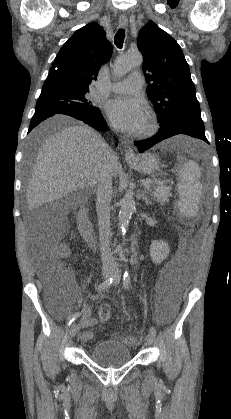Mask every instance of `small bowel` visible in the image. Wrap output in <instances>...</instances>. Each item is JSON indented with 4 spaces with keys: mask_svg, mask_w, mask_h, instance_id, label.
Wrapping results in <instances>:
<instances>
[{
    "mask_svg": "<svg viewBox=\"0 0 231 419\" xmlns=\"http://www.w3.org/2000/svg\"><path fill=\"white\" fill-rule=\"evenodd\" d=\"M170 266H167L162 272L159 282L157 284V293L160 297L161 304L164 308V315L171 317L179 304V292L175 283L167 278V270ZM96 297L95 299H98ZM97 320L90 315V309L88 306H82V318L79 323V327L82 330V338L85 341L91 340L93 337L90 327L96 324Z\"/></svg>",
    "mask_w": 231,
    "mask_h": 419,
    "instance_id": "1",
    "label": "small bowel"
}]
</instances>
